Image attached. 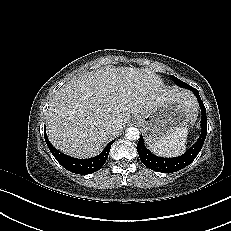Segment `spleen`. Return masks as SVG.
Masks as SVG:
<instances>
[{"instance_id": "obj_1", "label": "spleen", "mask_w": 231, "mask_h": 231, "mask_svg": "<svg viewBox=\"0 0 231 231\" xmlns=\"http://www.w3.org/2000/svg\"><path fill=\"white\" fill-rule=\"evenodd\" d=\"M187 126L177 129L173 134L149 145L153 153L163 157H175L186 150Z\"/></svg>"}]
</instances>
